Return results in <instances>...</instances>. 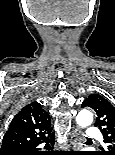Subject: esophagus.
Segmentation results:
<instances>
[{
	"label": "esophagus",
	"instance_id": "1",
	"mask_svg": "<svg viewBox=\"0 0 115 155\" xmlns=\"http://www.w3.org/2000/svg\"><path fill=\"white\" fill-rule=\"evenodd\" d=\"M82 136L79 128H75L71 133L70 145L73 151H77L81 147Z\"/></svg>",
	"mask_w": 115,
	"mask_h": 155
}]
</instances>
